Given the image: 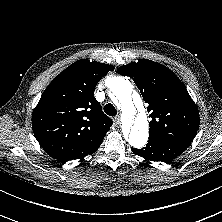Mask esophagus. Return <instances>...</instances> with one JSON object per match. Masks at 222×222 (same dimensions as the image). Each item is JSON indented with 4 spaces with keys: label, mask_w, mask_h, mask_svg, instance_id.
Segmentation results:
<instances>
[{
    "label": "esophagus",
    "mask_w": 222,
    "mask_h": 222,
    "mask_svg": "<svg viewBox=\"0 0 222 222\" xmlns=\"http://www.w3.org/2000/svg\"><path fill=\"white\" fill-rule=\"evenodd\" d=\"M114 123H115L116 125H119V124H120V116H119V115L114 118Z\"/></svg>",
    "instance_id": "esophagus-1"
}]
</instances>
